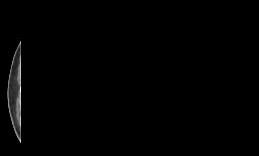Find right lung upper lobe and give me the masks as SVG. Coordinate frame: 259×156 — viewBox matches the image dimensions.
Segmentation results:
<instances>
[{"label":"right lung upper lobe","mask_w":259,"mask_h":156,"mask_svg":"<svg viewBox=\"0 0 259 156\" xmlns=\"http://www.w3.org/2000/svg\"><path fill=\"white\" fill-rule=\"evenodd\" d=\"M90 1H98V0H90Z\"/></svg>","instance_id":"cb5924a9"}]
</instances>
